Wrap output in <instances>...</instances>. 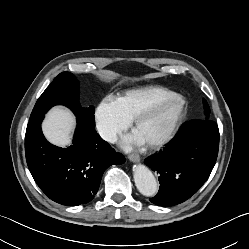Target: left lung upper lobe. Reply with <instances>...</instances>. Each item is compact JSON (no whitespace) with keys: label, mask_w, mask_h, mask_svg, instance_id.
Masks as SVG:
<instances>
[{"label":"left lung upper lobe","mask_w":249,"mask_h":249,"mask_svg":"<svg viewBox=\"0 0 249 249\" xmlns=\"http://www.w3.org/2000/svg\"><path fill=\"white\" fill-rule=\"evenodd\" d=\"M203 105H204V109H205L206 120H208L209 114H210V108H209V105L205 99L203 100Z\"/></svg>","instance_id":"1"}]
</instances>
